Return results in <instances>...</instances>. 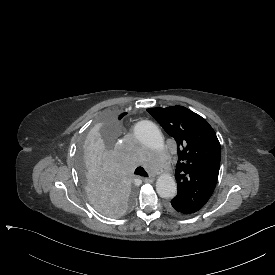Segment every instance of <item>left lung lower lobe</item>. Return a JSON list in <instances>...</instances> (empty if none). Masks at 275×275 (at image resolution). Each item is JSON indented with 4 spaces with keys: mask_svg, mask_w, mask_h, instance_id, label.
I'll use <instances>...</instances> for the list:
<instances>
[{
    "mask_svg": "<svg viewBox=\"0 0 275 275\" xmlns=\"http://www.w3.org/2000/svg\"><path fill=\"white\" fill-rule=\"evenodd\" d=\"M168 210L171 214L175 216H184L193 214L195 212L189 211L186 207L178 205L176 203L171 202V205L168 206Z\"/></svg>",
    "mask_w": 275,
    "mask_h": 275,
    "instance_id": "obj_1",
    "label": "left lung lower lobe"
}]
</instances>
